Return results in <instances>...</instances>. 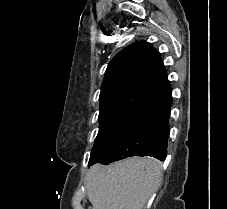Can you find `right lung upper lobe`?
Here are the masks:
<instances>
[{
    "label": "right lung upper lobe",
    "instance_id": "obj_1",
    "mask_svg": "<svg viewBox=\"0 0 227 209\" xmlns=\"http://www.w3.org/2000/svg\"><path fill=\"white\" fill-rule=\"evenodd\" d=\"M170 94L160 53L146 41L135 42L120 51L107 67L100 93V113L116 99L129 98L153 107Z\"/></svg>",
    "mask_w": 227,
    "mask_h": 209
}]
</instances>
